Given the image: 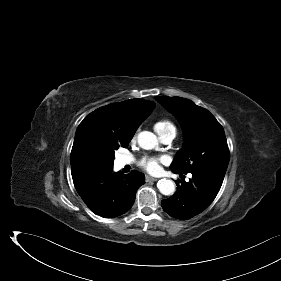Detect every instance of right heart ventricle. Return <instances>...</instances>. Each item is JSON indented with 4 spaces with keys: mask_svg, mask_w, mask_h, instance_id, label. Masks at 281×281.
I'll return each mask as SVG.
<instances>
[{
    "mask_svg": "<svg viewBox=\"0 0 281 281\" xmlns=\"http://www.w3.org/2000/svg\"><path fill=\"white\" fill-rule=\"evenodd\" d=\"M154 128L156 130V132L160 135V137L162 135H165L169 132H175V126L173 125L172 122H170L169 120L166 119H162L159 120L155 123Z\"/></svg>",
    "mask_w": 281,
    "mask_h": 281,
    "instance_id": "right-heart-ventricle-1",
    "label": "right heart ventricle"
}]
</instances>
